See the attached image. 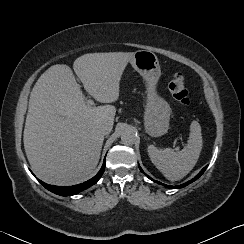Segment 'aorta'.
Returning a JSON list of instances; mask_svg holds the SVG:
<instances>
[{"label":"aorta","instance_id":"aorta-1","mask_svg":"<svg viewBox=\"0 0 244 244\" xmlns=\"http://www.w3.org/2000/svg\"><path fill=\"white\" fill-rule=\"evenodd\" d=\"M136 132L133 129H124L121 133V142L125 145H133L136 141Z\"/></svg>","mask_w":244,"mask_h":244}]
</instances>
